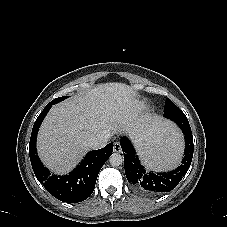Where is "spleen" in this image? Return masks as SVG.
Here are the masks:
<instances>
[{
    "label": "spleen",
    "instance_id": "3e777b00",
    "mask_svg": "<svg viewBox=\"0 0 227 227\" xmlns=\"http://www.w3.org/2000/svg\"><path fill=\"white\" fill-rule=\"evenodd\" d=\"M130 134L132 154L147 168L164 170L173 168L184 154V142L179 128L170 120L151 115L135 120Z\"/></svg>",
    "mask_w": 227,
    "mask_h": 227
}]
</instances>
